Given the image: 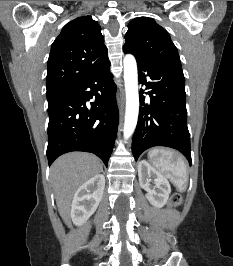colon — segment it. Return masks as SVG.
<instances>
[{"label":"colon","mask_w":233,"mask_h":266,"mask_svg":"<svg viewBox=\"0 0 233 266\" xmlns=\"http://www.w3.org/2000/svg\"><path fill=\"white\" fill-rule=\"evenodd\" d=\"M182 201V198L179 194H173L170 198V204L172 206H178Z\"/></svg>","instance_id":"colon-1"}]
</instances>
